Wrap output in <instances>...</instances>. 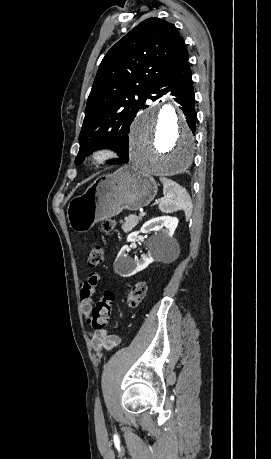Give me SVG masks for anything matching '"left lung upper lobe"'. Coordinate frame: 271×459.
Here are the masks:
<instances>
[{
    "label": "left lung upper lobe",
    "instance_id": "1",
    "mask_svg": "<svg viewBox=\"0 0 271 459\" xmlns=\"http://www.w3.org/2000/svg\"><path fill=\"white\" fill-rule=\"evenodd\" d=\"M187 60L176 27L159 18L142 21L117 42L103 58L87 100L76 165L98 148H112L121 159L127 156L137 112Z\"/></svg>",
    "mask_w": 271,
    "mask_h": 459
}]
</instances>
